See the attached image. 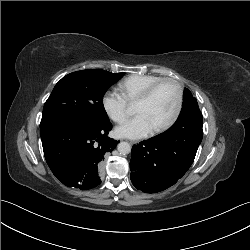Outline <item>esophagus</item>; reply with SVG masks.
Returning a JSON list of instances; mask_svg holds the SVG:
<instances>
[{
	"mask_svg": "<svg viewBox=\"0 0 250 250\" xmlns=\"http://www.w3.org/2000/svg\"><path fill=\"white\" fill-rule=\"evenodd\" d=\"M130 144H137L136 141H130Z\"/></svg>",
	"mask_w": 250,
	"mask_h": 250,
	"instance_id": "34e87169",
	"label": "esophagus"
}]
</instances>
